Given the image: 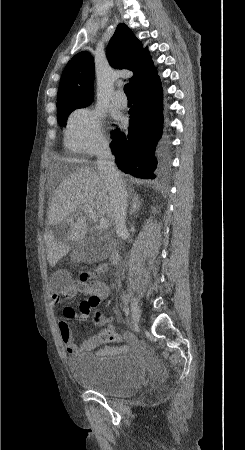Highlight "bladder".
<instances>
[{
    "label": "bladder",
    "instance_id": "1",
    "mask_svg": "<svg viewBox=\"0 0 245 450\" xmlns=\"http://www.w3.org/2000/svg\"><path fill=\"white\" fill-rule=\"evenodd\" d=\"M68 367L78 385L107 397H130L144 385V368L134 355L83 354L69 357Z\"/></svg>",
    "mask_w": 245,
    "mask_h": 450
}]
</instances>
